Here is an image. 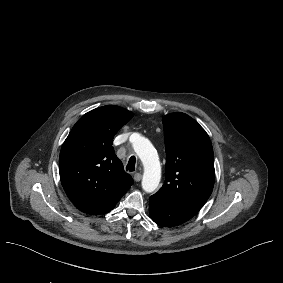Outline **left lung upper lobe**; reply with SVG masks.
<instances>
[{"instance_id": "1", "label": "left lung upper lobe", "mask_w": 283, "mask_h": 283, "mask_svg": "<svg viewBox=\"0 0 283 283\" xmlns=\"http://www.w3.org/2000/svg\"><path fill=\"white\" fill-rule=\"evenodd\" d=\"M162 121L166 175L156 195L201 208L211 195L215 180L214 154L209 136L184 113L166 115Z\"/></svg>"}]
</instances>
